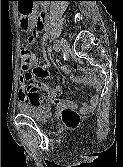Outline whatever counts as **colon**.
Wrapping results in <instances>:
<instances>
[{"label":"colon","instance_id":"obj_1","mask_svg":"<svg viewBox=\"0 0 123 167\" xmlns=\"http://www.w3.org/2000/svg\"><path fill=\"white\" fill-rule=\"evenodd\" d=\"M42 21H44V15L39 17L38 24L41 25ZM20 56L22 68L24 70L35 69L37 67V57L31 49L23 48ZM62 120L67 127L75 128L79 123V116L74 111L64 110L62 112Z\"/></svg>","mask_w":123,"mask_h":167}]
</instances>
